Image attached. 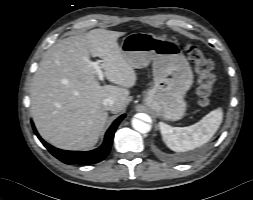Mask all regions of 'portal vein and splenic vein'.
Instances as JSON below:
<instances>
[{
	"label": "portal vein and splenic vein",
	"mask_w": 253,
	"mask_h": 200,
	"mask_svg": "<svg viewBox=\"0 0 253 200\" xmlns=\"http://www.w3.org/2000/svg\"><path fill=\"white\" fill-rule=\"evenodd\" d=\"M100 62L101 60L97 62H92V66L94 67L96 73L98 74V79L102 81L104 79V72L102 70V67L99 65Z\"/></svg>",
	"instance_id": "obj_1"
}]
</instances>
